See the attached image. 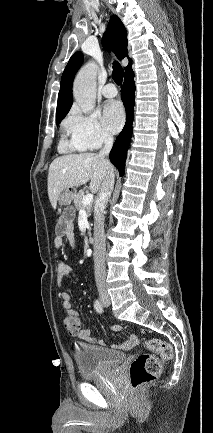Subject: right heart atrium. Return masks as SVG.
<instances>
[{
	"label": "right heart atrium",
	"instance_id": "1",
	"mask_svg": "<svg viewBox=\"0 0 213 433\" xmlns=\"http://www.w3.org/2000/svg\"><path fill=\"white\" fill-rule=\"evenodd\" d=\"M64 125L73 143L85 150L98 149L112 140V135L100 123L96 113H83L74 108Z\"/></svg>",
	"mask_w": 213,
	"mask_h": 433
}]
</instances>
